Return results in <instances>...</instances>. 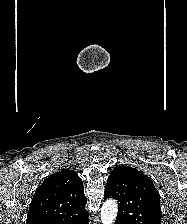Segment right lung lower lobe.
Instances as JSON below:
<instances>
[{"instance_id": "obj_1", "label": "right lung lower lobe", "mask_w": 187, "mask_h": 224, "mask_svg": "<svg viewBox=\"0 0 187 224\" xmlns=\"http://www.w3.org/2000/svg\"><path fill=\"white\" fill-rule=\"evenodd\" d=\"M74 224H88V218H85L79 222H74Z\"/></svg>"}]
</instances>
